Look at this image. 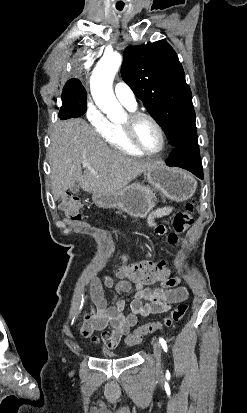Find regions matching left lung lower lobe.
<instances>
[{
	"label": "left lung lower lobe",
	"instance_id": "1",
	"mask_svg": "<svg viewBox=\"0 0 247 413\" xmlns=\"http://www.w3.org/2000/svg\"><path fill=\"white\" fill-rule=\"evenodd\" d=\"M166 164L168 166L187 169L200 179H203V169L198 144L173 148L169 158L166 160Z\"/></svg>",
	"mask_w": 247,
	"mask_h": 413
}]
</instances>
